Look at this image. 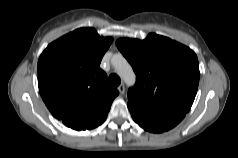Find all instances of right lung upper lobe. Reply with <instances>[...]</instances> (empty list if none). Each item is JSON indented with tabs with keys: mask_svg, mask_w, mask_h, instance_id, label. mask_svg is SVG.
Masks as SVG:
<instances>
[{
	"mask_svg": "<svg viewBox=\"0 0 238 158\" xmlns=\"http://www.w3.org/2000/svg\"><path fill=\"white\" fill-rule=\"evenodd\" d=\"M94 28H80L52 42L37 64L38 87L57 119L109 111L119 94L100 62L112 43Z\"/></svg>",
	"mask_w": 238,
	"mask_h": 158,
	"instance_id": "1",
	"label": "right lung upper lobe"
}]
</instances>
